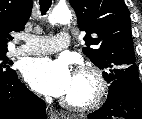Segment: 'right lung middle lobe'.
I'll return each instance as SVG.
<instances>
[{"instance_id": "right-lung-middle-lobe-1", "label": "right lung middle lobe", "mask_w": 142, "mask_h": 119, "mask_svg": "<svg viewBox=\"0 0 142 119\" xmlns=\"http://www.w3.org/2000/svg\"><path fill=\"white\" fill-rule=\"evenodd\" d=\"M6 52L7 51L0 52V79H6L16 73L15 70L9 67L11 64L6 58Z\"/></svg>"}]
</instances>
